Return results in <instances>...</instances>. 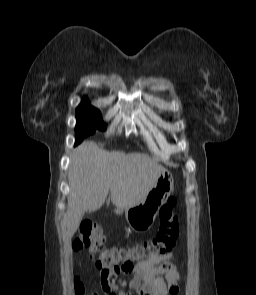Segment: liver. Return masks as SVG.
Instances as JSON below:
<instances>
[{"label": "liver", "instance_id": "1", "mask_svg": "<svg viewBox=\"0 0 256 295\" xmlns=\"http://www.w3.org/2000/svg\"><path fill=\"white\" fill-rule=\"evenodd\" d=\"M163 166L142 153L107 152L91 141L73 153L68 171L67 240L77 231L85 212L101 208L110 191L112 203L128 208L142 202Z\"/></svg>", "mask_w": 256, "mask_h": 295}]
</instances>
